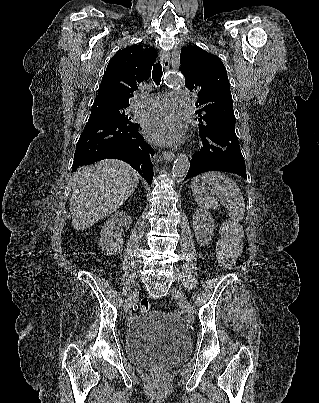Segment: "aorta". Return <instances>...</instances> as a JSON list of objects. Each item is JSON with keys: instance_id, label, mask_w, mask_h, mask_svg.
<instances>
[{"instance_id": "aorta-1", "label": "aorta", "mask_w": 319, "mask_h": 403, "mask_svg": "<svg viewBox=\"0 0 319 403\" xmlns=\"http://www.w3.org/2000/svg\"><path fill=\"white\" fill-rule=\"evenodd\" d=\"M183 81L177 74L171 73L165 77V84L172 87H177L182 85ZM189 170V160L187 155H179L174 163L172 169V175L174 180L180 182L184 180Z\"/></svg>"}]
</instances>
